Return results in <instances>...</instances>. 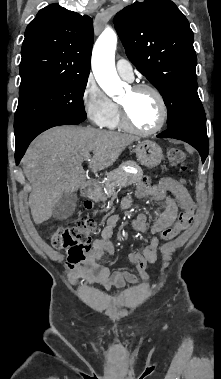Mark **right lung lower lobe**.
Segmentation results:
<instances>
[{
    "label": "right lung lower lobe",
    "mask_w": 221,
    "mask_h": 379,
    "mask_svg": "<svg viewBox=\"0 0 221 379\" xmlns=\"http://www.w3.org/2000/svg\"><path fill=\"white\" fill-rule=\"evenodd\" d=\"M80 121H75V120H66V121H63L61 122V125H75V124H79ZM32 140H29L27 142H20V143H16V150H15V160H16V164L18 165L21 158L23 157L28 145L30 144Z\"/></svg>",
    "instance_id": "1"
}]
</instances>
